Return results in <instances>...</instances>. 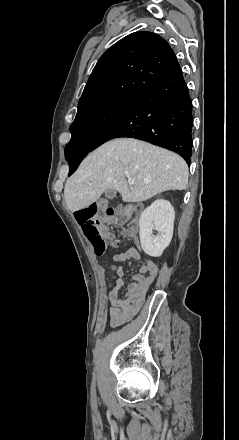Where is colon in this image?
Instances as JSON below:
<instances>
[{
	"label": "colon",
	"mask_w": 239,
	"mask_h": 440,
	"mask_svg": "<svg viewBox=\"0 0 239 440\" xmlns=\"http://www.w3.org/2000/svg\"><path fill=\"white\" fill-rule=\"evenodd\" d=\"M141 209L142 206L139 204L125 206L104 205L99 212L96 206H91L77 211L75 216L84 235L92 244L95 253L102 255L106 250L108 242L112 240V235L105 230V223H126L133 214ZM135 229L136 222L133 221L129 225L127 235L132 234Z\"/></svg>",
	"instance_id": "1"
}]
</instances>
